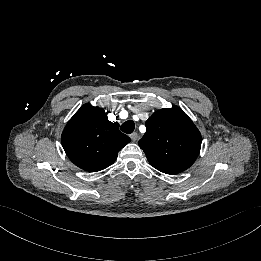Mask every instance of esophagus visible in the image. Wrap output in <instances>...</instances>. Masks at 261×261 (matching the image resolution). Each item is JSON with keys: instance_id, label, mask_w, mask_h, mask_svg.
<instances>
[{"instance_id": "obj_1", "label": "esophagus", "mask_w": 261, "mask_h": 261, "mask_svg": "<svg viewBox=\"0 0 261 261\" xmlns=\"http://www.w3.org/2000/svg\"><path fill=\"white\" fill-rule=\"evenodd\" d=\"M130 138L132 139V141H137L139 139V135L138 133L134 132L132 134H130Z\"/></svg>"}]
</instances>
